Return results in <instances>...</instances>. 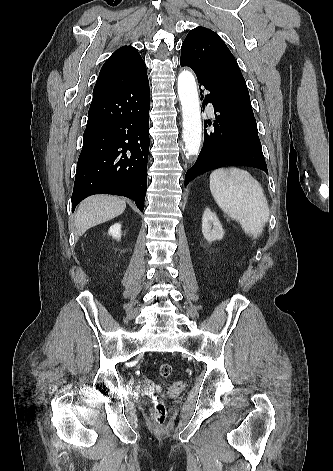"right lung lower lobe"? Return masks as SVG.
<instances>
[{"mask_svg": "<svg viewBox=\"0 0 333 471\" xmlns=\"http://www.w3.org/2000/svg\"><path fill=\"white\" fill-rule=\"evenodd\" d=\"M147 74L127 89L92 100L77 163L72 211L93 194H113L144 209L149 151Z\"/></svg>", "mask_w": 333, "mask_h": 471, "instance_id": "obj_1", "label": "right lung lower lobe"}]
</instances>
